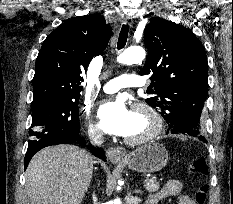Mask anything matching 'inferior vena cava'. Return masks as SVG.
<instances>
[{
  "label": "inferior vena cava",
  "instance_id": "602c4592",
  "mask_svg": "<svg viewBox=\"0 0 233 204\" xmlns=\"http://www.w3.org/2000/svg\"><path fill=\"white\" fill-rule=\"evenodd\" d=\"M91 139L95 144L103 143V133L100 131H95L91 134Z\"/></svg>",
  "mask_w": 233,
  "mask_h": 204
}]
</instances>
